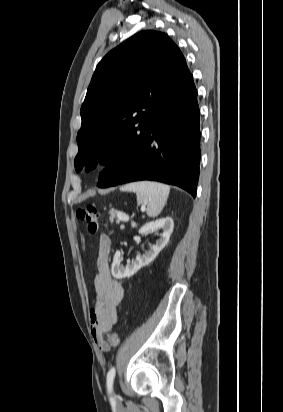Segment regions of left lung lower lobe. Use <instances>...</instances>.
Instances as JSON below:
<instances>
[{"label": "left lung lower lobe", "instance_id": "left-lung-lower-lobe-1", "mask_svg": "<svg viewBox=\"0 0 283 412\" xmlns=\"http://www.w3.org/2000/svg\"><path fill=\"white\" fill-rule=\"evenodd\" d=\"M197 91L190 73L174 97L163 106L148 130L124 144L100 174L98 186L107 188L151 180L197 193L200 161Z\"/></svg>", "mask_w": 283, "mask_h": 412}]
</instances>
